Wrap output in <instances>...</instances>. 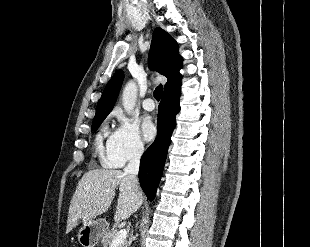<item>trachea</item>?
<instances>
[{
    "instance_id": "1",
    "label": "trachea",
    "mask_w": 310,
    "mask_h": 247,
    "mask_svg": "<svg viewBox=\"0 0 310 247\" xmlns=\"http://www.w3.org/2000/svg\"><path fill=\"white\" fill-rule=\"evenodd\" d=\"M162 94H163V86L162 85H159L158 87H156L155 91H154V98L157 100V101H160L161 97H162Z\"/></svg>"
}]
</instances>
